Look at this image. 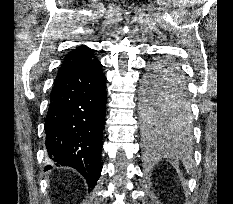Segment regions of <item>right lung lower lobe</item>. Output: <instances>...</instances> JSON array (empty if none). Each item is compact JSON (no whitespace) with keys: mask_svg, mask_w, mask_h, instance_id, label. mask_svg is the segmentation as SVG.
Masks as SVG:
<instances>
[{"mask_svg":"<svg viewBox=\"0 0 233 204\" xmlns=\"http://www.w3.org/2000/svg\"><path fill=\"white\" fill-rule=\"evenodd\" d=\"M106 77L101 64H75L55 81L45 120L46 149L56 165L76 168L93 188L101 173ZM52 168L47 166L46 170Z\"/></svg>","mask_w":233,"mask_h":204,"instance_id":"right-lung-lower-lobe-1","label":"right lung lower lobe"}]
</instances>
